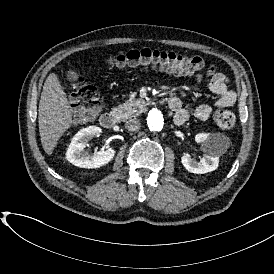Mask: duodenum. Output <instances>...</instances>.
Returning <instances> with one entry per match:
<instances>
[{"mask_svg": "<svg viewBox=\"0 0 274 274\" xmlns=\"http://www.w3.org/2000/svg\"><path fill=\"white\" fill-rule=\"evenodd\" d=\"M168 103L171 108H177L179 106V99L170 97ZM100 123L104 129L113 130L117 127L118 115L111 112L104 113L100 118Z\"/></svg>", "mask_w": 274, "mask_h": 274, "instance_id": "duodenum-1", "label": "duodenum"}]
</instances>
